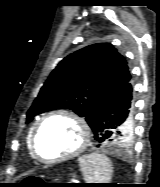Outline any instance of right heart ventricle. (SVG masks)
Masks as SVG:
<instances>
[{
    "instance_id": "right-heart-ventricle-1",
    "label": "right heart ventricle",
    "mask_w": 160,
    "mask_h": 187,
    "mask_svg": "<svg viewBox=\"0 0 160 187\" xmlns=\"http://www.w3.org/2000/svg\"><path fill=\"white\" fill-rule=\"evenodd\" d=\"M32 129L33 127H31L27 133V137H26V145H27V149H28V152H29V155L34 158L32 152H31V146H30V139H31V133H32Z\"/></svg>"
}]
</instances>
